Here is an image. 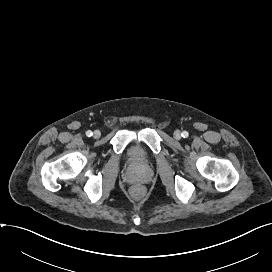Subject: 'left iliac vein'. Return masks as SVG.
<instances>
[{
  "mask_svg": "<svg viewBox=\"0 0 272 272\" xmlns=\"http://www.w3.org/2000/svg\"><path fill=\"white\" fill-rule=\"evenodd\" d=\"M174 137L179 140L181 138V132L179 130H176L174 132Z\"/></svg>",
  "mask_w": 272,
  "mask_h": 272,
  "instance_id": "obj_1",
  "label": "left iliac vein"
}]
</instances>
